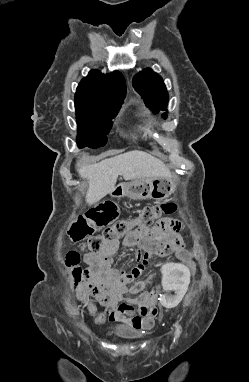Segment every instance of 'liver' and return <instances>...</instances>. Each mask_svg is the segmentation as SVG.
I'll return each instance as SVG.
<instances>
[{
    "mask_svg": "<svg viewBox=\"0 0 249 382\" xmlns=\"http://www.w3.org/2000/svg\"><path fill=\"white\" fill-rule=\"evenodd\" d=\"M78 165V172L87 179L89 187L86 194L88 203H96L114 189L117 178L124 180L141 178H172L169 168L158 158L143 151H130L99 163Z\"/></svg>",
    "mask_w": 249,
    "mask_h": 382,
    "instance_id": "6515ba94",
    "label": "liver"
}]
</instances>
